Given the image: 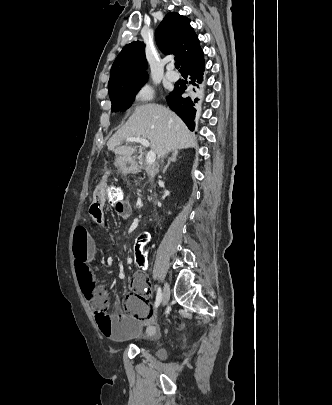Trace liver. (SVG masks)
I'll return each instance as SVG.
<instances>
[{
    "label": "liver",
    "mask_w": 332,
    "mask_h": 405,
    "mask_svg": "<svg viewBox=\"0 0 332 405\" xmlns=\"http://www.w3.org/2000/svg\"><path fill=\"white\" fill-rule=\"evenodd\" d=\"M129 137L149 140L151 150L158 158L174 150L197 146L195 136L183 121L169 109L157 104L136 107L126 124L107 142L108 150L120 157L132 156L136 148L122 145Z\"/></svg>",
    "instance_id": "liver-1"
}]
</instances>
